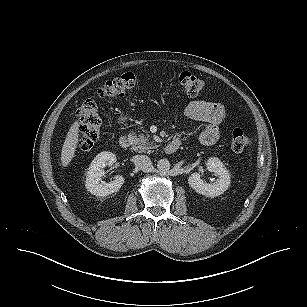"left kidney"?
Segmentation results:
<instances>
[{
  "mask_svg": "<svg viewBox=\"0 0 307 307\" xmlns=\"http://www.w3.org/2000/svg\"><path fill=\"white\" fill-rule=\"evenodd\" d=\"M207 170L215 173L217 179L207 183L201 179L200 173H193L188 183L197 193L206 197H216L223 194L230 185V173L223 163L216 157H211L207 162Z\"/></svg>",
  "mask_w": 307,
  "mask_h": 307,
  "instance_id": "1",
  "label": "left kidney"
}]
</instances>
